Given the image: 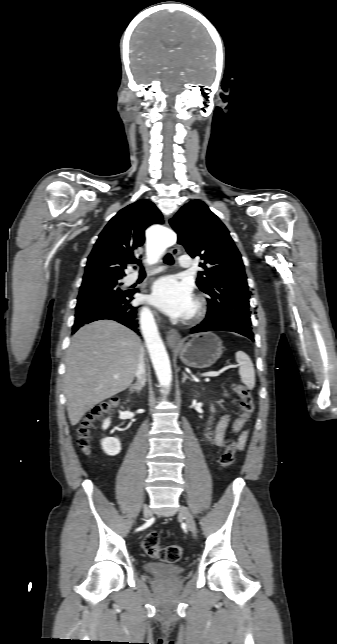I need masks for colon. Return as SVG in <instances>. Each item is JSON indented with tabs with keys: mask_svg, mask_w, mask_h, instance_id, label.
<instances>
[{
	"mask_svg": "<svg viewBox=\"0 0 337 644\" xmlns=\"http://www.w3.org/2000/svg\"><path fill=\"white\" fill-rule=\"evenodd\" d=\"M233 388L239 398L238 415L243 424L254 411L253 398L251 396L250 390L246 386L242 384H234ZM117 404L118 400L114 399L110 402L98 405L84 419L79 429L78 437V444L84 452L89 451L91 432L95 424L106 417L108 414H110ZM236 447L237 446L234 440H231L228 443L219 458V464L221 468H227L234 462ZM143 549L150 557L157 558L167 563L177 562L181 559L182 556V548L179 545L173 544L163 548L160 547V537L156 532H150L144 537Z\"/></svg>",
	"mask_w": 337,
	"mask_h": 644,
	"instance_id": "1",
	"label": "colon"
}]
</instances>
